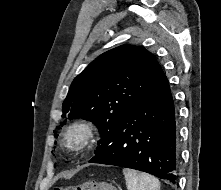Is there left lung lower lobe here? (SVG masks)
Segmentation results:
<instances>
[{"instance_id":"left-lung-lower-lobe-1","label":"left lung lower lobe","mask_w":221,"mask_h":190,"mask_svg":"<svg viewBox=\"0 0 221 190\" xmlns=\"http://www.w3.org/2000/svg\"><path fill=\"white\" fill-rule=\"evenodd\" d=\"M176 109L167 77L161 78L106 137L89 162L121 166L176 182L178 133Z\"/></svg>"}]
</instances>
